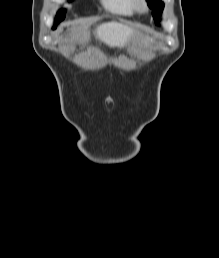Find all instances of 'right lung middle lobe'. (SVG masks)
Segmentation results:
<instances>
[{
  "instance_id": "obj_1",
  "label": "right lung middle lobe",
  "mask_w": 219,
  "mask_h": 258,
  "mask_svg": "<svg viewBox=\"0 0 219 258\" xmlns=\"http://www.w3.org/2000/svg\"><path fill=\"white\" fill-rule=\"evenodd\" d=\"M71 1V0H70ZM65 10H60L57 14V18H56V23L53 26V29H56L57 27V23H59L60 21H62L65 18Z\"/></svg>"
}]
</instances>
